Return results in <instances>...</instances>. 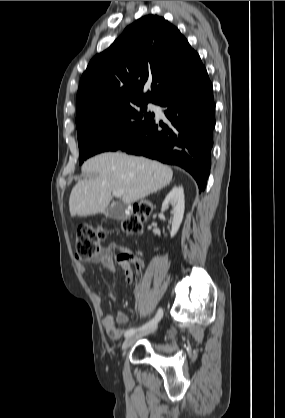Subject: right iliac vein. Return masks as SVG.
<instances>
[{"label":"right iliac vein","instance_id":"63e3f726","mask_svg":"<svg viewBox=\"0 0 285 418\" xmlns=\"http://www.w3.org/2000/svg\"><path fill=\"white\" fill-rule=\"evenodd\" d=\"M156 328L157 327L154 326V327H152L151 329H149L147 331H142V332H139L137 334H133V335L127 337L125 339L123 345H122V350H125V349L129 348L130 346H132L139 338H141V337H143V336H145V335H147L149 333L154 332L156 330Z\"/></svg>","mask_w":285,"mask_h":418}]
</instances>
